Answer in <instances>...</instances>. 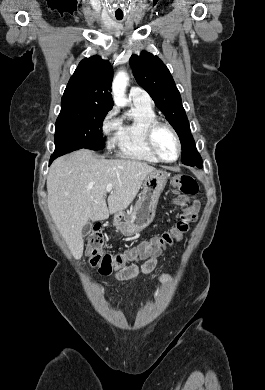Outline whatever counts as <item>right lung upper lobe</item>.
I'll return each instance as SVG.
<instances>
[{
	"instance_id": "1",
	"label": "right lung upper lobe",
	"mask_w": 265,
	"mask_h": 390,
	"mask_svg": "<svg viewBox=\"0 0 265 390\" xmlns=\"http://www.w3.org/2000/svg\"><path fill=\"white\" fill-rule=\"evenodd\" d=\"M113 68L108 60L94 55L83 59L70 78L61 103H84L111 109Z\"/></svg>"
}]
</instances>
